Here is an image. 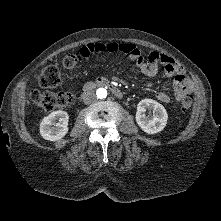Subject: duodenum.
I'll use <instances>...</instances> for the list:
<instances>
[{"instance_id": "duodenum-1", "label": "duodenum", "mask_w": 221, "mask_h": 221, "mask_svg": "<svg viewBox=\"0 0 221 221\" xmlns=\"http://www.w3.org/2000/svg\"><path fill=\"white\" fill-rule=\"evenodd\" d=\"M95 86L108 88L116 97L122 98L124 96V92L118 88L113 82L109 81L106 78H97L93 82H88L84 85L83 91L89 92Z\"/></svg>"}]
</instances>
